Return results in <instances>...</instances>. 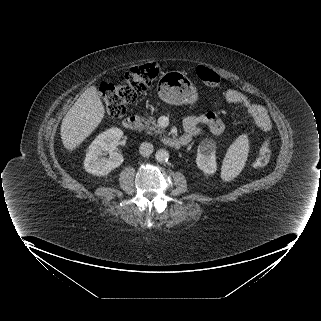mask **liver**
Instances as JSON below:
<instances>
[{"label":"liver","mask_w":321,"mask_h":321,"mask_svg":"<svg viewBox=\"0 0 321 321\" xmlns=\"http://www.w3.org/2000/svg\"><path fill=\"white\" fill-rule=\"evenodd\" d=\"M105 116L104 105L95 86L86 89L66 113L61 124L64 147L72 152L101 123Z\"/></svg>","instance_id":"1"}]
</instances>
